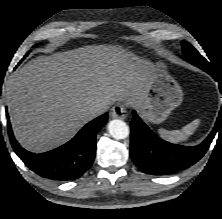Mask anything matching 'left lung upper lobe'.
I'll return each mask as SVG.
<instances>
[{
  "mask_svg": "<svg viewBox=\"0 0 222 219\" xmlns=\"http://www.w3.org/2000/svg\"><path fill=\"white\" fill-rule=\"evenodd\" d=\"M182 49L183 54L187 61L195 62L198 64H205V66H209L207 60L202 57L199 52L188 42L182 41Z\"/></svg>",
  "mask_w": 222,
  "mask_h": 219,
  "instance_id": "left-lung-upper-lobe-1",
  "label": "left lung upper lobe"
}]
</instances>
